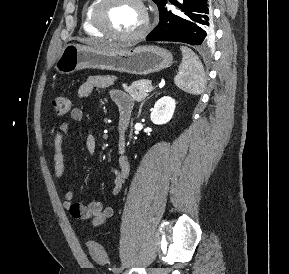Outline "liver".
<instances>
[{
	"label": "liver",
	"mask_w": 289,
	"mask_h": 274,
	"mask_svg": "<svg viewBox=\"0 0 289 274\" xmlns=\"http://www.w3.org/2000/svg\"><path fill=\"white\" fill-rule=\"evenodd\" d=\"M93 48L96 49H101V50H106V51H116V50H121V47L118 45L114 44H108V43H91Z\"/></svg>",
	"instance_id": "liver-1"
}]
</instances>
